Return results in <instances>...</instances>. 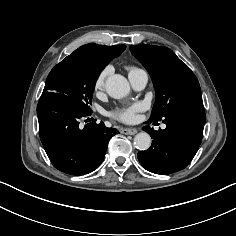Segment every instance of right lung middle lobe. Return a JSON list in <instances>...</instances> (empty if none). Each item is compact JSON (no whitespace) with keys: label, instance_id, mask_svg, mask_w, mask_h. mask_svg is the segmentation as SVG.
I'll return each mask as SVG.
<instances>
[{"label":"right lung middle lobe","instance_id":"1","mask_svg":"<svg viewBox=\"0 0 236 236\" xmlns=\"http://www.w3.org/2000/svg\"><path fill=\"white\" fill-rule=\"evenodd\" d=\"M110 62L105 58L69 55L49 73L43 93L66 95L81 110L90 111L95 82L102 69Z\"/></svg>","mask_w":236,"mask_h":236}]
</instances>
